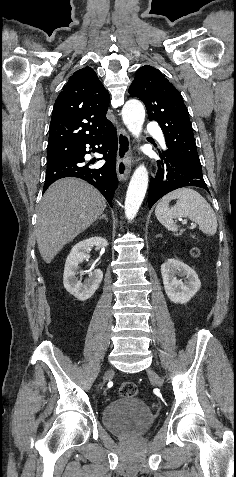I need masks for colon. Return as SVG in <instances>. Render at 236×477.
Instances as JSON below:
<instances>
[{
	"label": "colon",
	"instance_id": "colon-1",
	"mask_svg": "<svg viewBox=\"0 0 236 477\" xmlns=\"http://www.w3.org/2000/svg\"><path fill=\"white\" fill-rule=\"evenodd\" d=\"M193 255L197 256L199 255V250L198 249H194L192 251ZM118 392L120 394V396H124V397H134L137 395V386L132 383V382H123L120 384L119 388H118Z\"/></svg>",
	"mask_w": 236,
	"mask_h": 477
}]
</instances>
